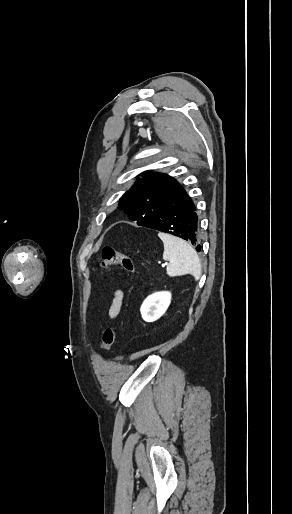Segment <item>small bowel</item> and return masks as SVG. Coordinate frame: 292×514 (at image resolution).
I'll use <instances>...</instances> for the list:
<instances>
[{
  "label": "small bowel",
  "instance_id": "small-bowel-1",
  "mask_svg": "<svg viewBox=\"0 0 292 514\" xmlns=\"http://www.w3.org/2000/svg\"><path fill=\"white\" fill-rule=\"evenodd\" d=\"M123 292L121 290H115L113 294L112 302L108 309V318L114 320L120 314L123 304Z\"/></svg>",
  "mask_w": 292,
  "mask_h": 514
}]
</instances>
